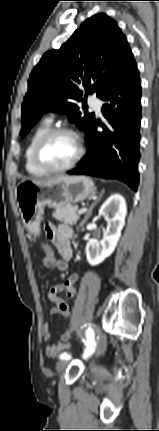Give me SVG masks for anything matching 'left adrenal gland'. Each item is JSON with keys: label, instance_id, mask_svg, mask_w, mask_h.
<instances>
[{"label": "left adrenal gland", "instance_id": "a2214340", "mask_svg": "<svg viewBox=\"0 0 159 431\" xmlns=\"http://www.w3.org/2000/svg\"><path fill=\"white\" fill-rule=\"evenodd\" d=\"M103 194H104V190L101 192L99 198L94 203L91 204V206L89 207L88 212H87V214L83 220V223H85L88 220V218L91 216V213H92L94 206L100 201Z\"/></svg>", "mask_w": 159, "mask_h": 431}]
</instances>
